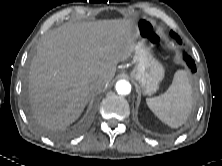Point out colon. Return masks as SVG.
I'll return each instance as SVG.
<instances>
[{
	"instance_id": "5ec220e1",
	"label": "colon",
	"mask_w": 222,
	"mask_h": 166,
	"mask_svg": "<svg viewBox=\"0 0 222 166\" xmlns=\"http://www.w3.org/2000/svg\"><path fill=\"white\" fill-rule=\"evenodd\" d=\"M136 33L144 40L152 44H158L161 41V36L157 32L152 22L142 19L136 27Z\"/></svg>"
}]
</instances>
